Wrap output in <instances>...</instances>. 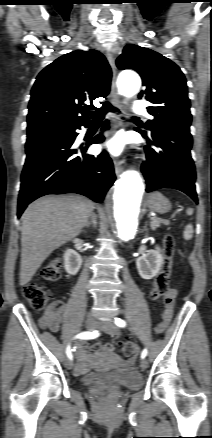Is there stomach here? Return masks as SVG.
<instances>
[{"instance_id": "1", "label": "stomach", "mask_w": 212, "mask_h": 438, "mask_svg": "<svg viewBox=\"0 0 212 438\" xmlns=\"http://www.w3.org/2000/svg\"><path fill=\"white\" fill-rule=\"evenodd\" d=\"M146 204L152 211L160 214L168 212L171 208L169 200L159 192L149 194Z\"/></svg>"}]
</instances>
